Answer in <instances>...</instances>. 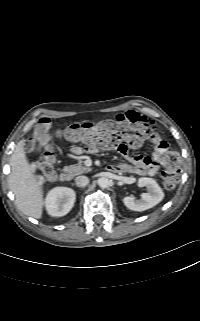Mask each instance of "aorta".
Listing matches in <instances>:
<instances>
[{
  "label": "aorta",
  "mask_w": 200,
  "mask_h": 321,
  "mask_svg": "<svg viewBox=\"0 0 200 321\" xmlns=\"http://www.w3.org/2000/svg\"><path fill=\"white\" fill-rule=\"evenodd\" d=\"M98 185H99L101 188L104 189V188L109 187L110 181H109L108 178L102 177V178H99V180H98Z\"/></svg>",
  "instance_id": "1"
}]
</instances>
